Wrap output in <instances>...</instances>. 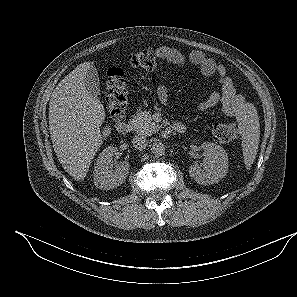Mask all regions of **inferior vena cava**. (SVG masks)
Instances as JSON below:
<instances>
[{
  "label": "inferior vena cava",
  "instance_id": "inferior-vena-cava-1",
  "mask_svg": "<svg viewBox=\"0 0 297 297\" xmlns=\"http://www.w3.org/2000/svg\"><path fill=\"white\" fill-rule=\"evenodd\" d=\"M132 143L137 150H143L147 146V139L145 136H135Z\"/></svg>",
  "mask_w": 297,
  "mask_h": 297
}]
</instances>
